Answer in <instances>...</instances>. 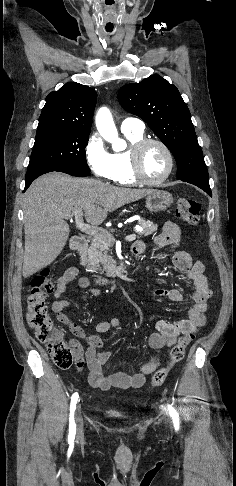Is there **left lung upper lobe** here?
<instances>
[{"label": "left lung upper lobe", "mask_w": 236, "mask_h": 486, "mask_svg": "<svg viewBox=\"0 0 236 486\" xmlns=\"http://www.w3.org/2000/svg\"><path fill=\"white\" fill-rule=\"evenodd\" d=\"M118 100L126 111L142 118L170 149L178 167L177 178L211 195L203 153L178 89L164 78L151 75L138 84L121 87Z\"/></svg>", "instance_id": "5c2ea615"}]
</instances>
